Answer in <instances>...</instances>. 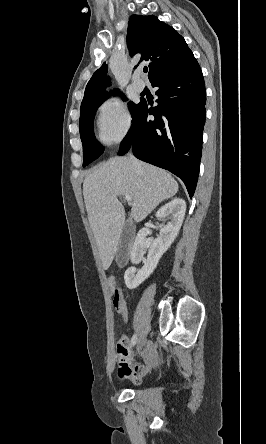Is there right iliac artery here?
<instances>
[{
    "mask_svg": "<svg viewBox=\"0 0 266 444\" xmlns=\"http://www.w3.org/2000/svg\"><path fill=\"white\" fill-rule=\"evenodd\" d=\"M136 342H137V335L134 334L131 339V346L132 347L135 346Z\"/></svg>",
    "mask_w": 266,
    "mask_h": 444,
    "instance_id": "obj_1",
    "label": "right iliac artery"
}]
</instances>
